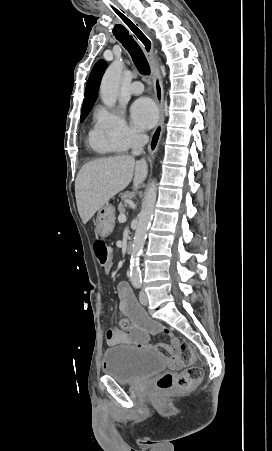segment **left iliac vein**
Segmentation results:
<instances>
[{"mask_svg":"<svg viewBox=\"0 0 272 451\" xmlns=\"http://www.w3.org/2000/svg\"><path fill=\"white\" fill-rule=\"evenodd\" d=\"M139 300H140V303L143 304V305H147L148 304L147 294H146V292L144 290L140 291Z\"/></svg>","mask_w":272,"mask_h":451,"instance_id":"4c4485c4","label":"left iliac vein"}]
</instances>
